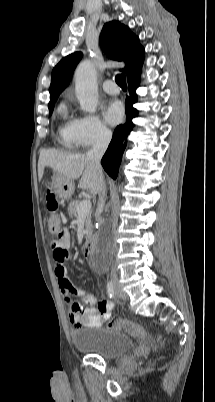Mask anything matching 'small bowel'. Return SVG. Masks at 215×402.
<instances>
[{"label":"small bowel","mask_w":215,"mask_h":402,"mask_svg":"<svg viewBox=\"0 0 215 402\" xmlns=\"http://www.w3.org/2000/svg\"><path fill=\"white\" fill-rule=\"evenodd\" d=\"M70 234L67 230L59 233L58 238L51 242L52 257L55 263V275L61 290L63 300L68 309V317L75 326L84 325L97 328L109 322L113 302L100 300L87 293L84 288H76L70 281L65 263L71 258ZM77 297L81 302L75 301Z\"/></svg>","instance_id":"c3829d8e"}]
</instances>
